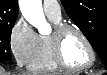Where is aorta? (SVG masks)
I'll use <instances>...</instances> for the list:
<instances>
[{"instance_id": "1", "label": "aorta", "mask_w": 107, "mask_h": 75, "mask_svg": "<svg viewBox=\"0 0 107 75\" xmlns=\"http://www.w3.org/2000/svg\"><path fill=\"white\" fill-rule=\"evenodd\" d=\"M19 6L27 22L37 28L39 33L44 34L48 23L44 16L41 0H20Z\"/></svg>"}]
</instances>
